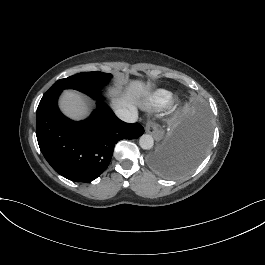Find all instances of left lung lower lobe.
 Returning <instances> with one entry per match:
<instances>
[{"label":"left lung lower lobe","mask_w":265,"mask_h":265,"mask_svg":"<svg viewBox=\"0 0 265 265\" xmlns=\"http://www.w3.org/2000/svg\"><path fill=\"white\" fill-rule=\"evenodd\" d=\"M211 124L207 110L197 106L149 155L155 170L170 178L192 171L203 159L210 141Z\"/></svg>","instance_id":"1"}]
</instances>
